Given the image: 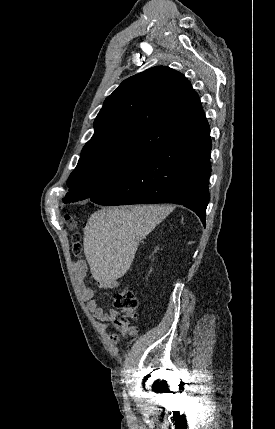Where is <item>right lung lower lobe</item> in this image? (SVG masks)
Masks as SVG:
<instances>
[{
	"instance_id": "right-lung-lower-lobe-1",
	"label": "right lung lower lobe",
	"mask_w": 275,
	"mask_h": 429,
	"mask_svg": "<svg viewBox=\"0 0 275 429\" xmlns=\"http://www.w3.org/2000/svg\"><path fill=\"white\" fill-rule=\"evenodd\" d=\"M211 146L209 127L174 140L115 186L90 199L101 205L180 204L193 210L205 225Z\"/></svg>"
}]
</instances>
